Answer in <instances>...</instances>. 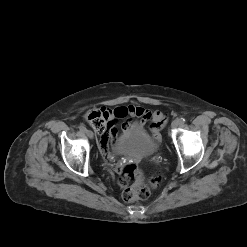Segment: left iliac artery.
<instances>
[{
	"label": "left iliac artery",
	"mask_w": 247,
	"mask_h": 247,
	"mask_svg": "<svg viewBox=\"0 0 247 247\" xmlns=\"http://www.w3.org/2000/svg\"><path fill=\"white\" fill-rule=\"evenodd\" d=\"M178 121H179L180 124H184L185 123V119L184 118H180V119H178Z\"/></svg>",
	"instance_id": "obj_1"
}]
</instances>
